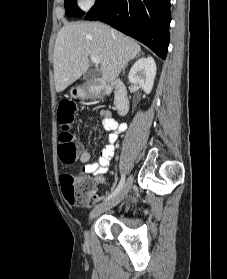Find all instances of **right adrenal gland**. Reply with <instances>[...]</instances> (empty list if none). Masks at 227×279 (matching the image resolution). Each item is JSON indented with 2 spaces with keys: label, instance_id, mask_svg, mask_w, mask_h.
<instances>
[{
  "label": "right adrenal gland",
  "instance_id": "2a0ac1e0",
  "mask_svg": "<svg viewBox=\"0 0 227 279\" xmlns=\"http://www.w3.org/2000/svg\"><path fill=\"white\" fill-rule=\"evenodd\" d=\"M128 65V63H126V65L123 67V74H124V71H125V67Z\"/></svg>",
  "mask_w": 227,
  "mask_h": 279
}]
</instances>
